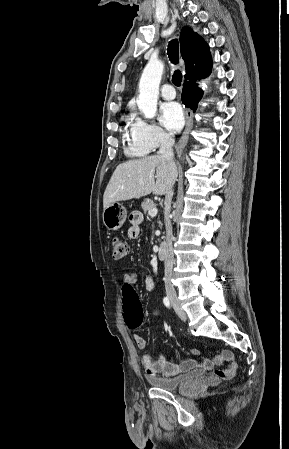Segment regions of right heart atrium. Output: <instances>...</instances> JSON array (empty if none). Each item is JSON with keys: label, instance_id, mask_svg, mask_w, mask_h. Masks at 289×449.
<instances>
[{"label": "right heart atrium", "instance_id": "1", "mask_svg": "<svg viewBox=\"0 0 289 449\" xmlns=\"http://www.w3.org/2000/svg\"><path fill=\"white\" fill-rule=\"evenodd\" d=\"M133 139L150 152L168 144L171 136L157 124L137 118L133 122Z\"/></svg>", "mask_w": 289, "mask_h": 449}]
</instances>
